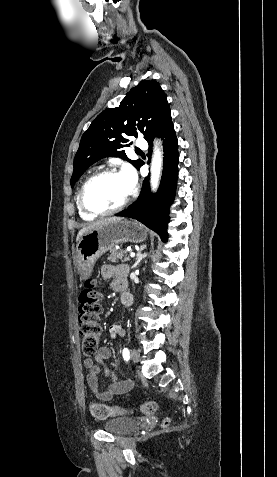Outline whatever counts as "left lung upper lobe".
<instances>
[{"mask_svg": "<svg viewBox=\"0 0 277 477\" xmlns=\"http://www.w3.org/2000/svg\"><path fill=\"white\" fill-rule=\"evenodd\" d=\"M170 120V106L159 83L140 82L118 107L101 112L83 134L74 159L71 187L93 163L104 157H120L138 169L142 162L128 159L123 150L131 144L128 137L143 133L149 141Z\"/></svg>", "mask_w": 277, "mask_h": 477, "instance_id": "left-lung-upper-lobe-1", "label": "left lung upper lobe"}]
</instances>
